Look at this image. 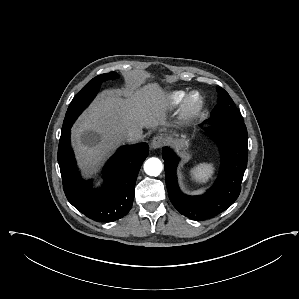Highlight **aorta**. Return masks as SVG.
I'll use <instances>...</instances> for the list:
<instances>
[{"label": "aorta", "instance_id": "762f6f07", "mask_svg": "<svg viewBox=\"0 0 299 299\" xmlns=\"http://www.w3.org/2000/svg\"><path fill=\"white\" fill-rule=\"evenodd\" d=\"M163 169L160 159L152 157L144 163V171L149 176H158Z\"/></svg>", "mask_w": 299, "mask_h": 299}]
</instances>
